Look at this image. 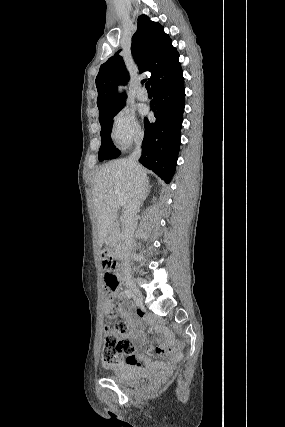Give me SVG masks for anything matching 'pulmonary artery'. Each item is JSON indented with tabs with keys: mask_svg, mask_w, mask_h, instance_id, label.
I'll return each mask as SVG.
<instances>
[{
	"mask_svg": "<svg viewBox=\"0 0 285 427\" xmlns=\"http://www.w3.org/2000/svg\"><path fill=\"white\" fill-rule=\"evenodd\" d=\"M137 98L140 101H146L148 99V93H147V91L144 88H140L137 91Z\"/></svg>",
	"mask_w": 285,
	"mask_h": 427,
	"instance_id": "pulmonary-artery-1",
	"label": "pulmonary artery"
}]
</instances>
